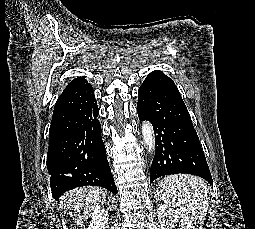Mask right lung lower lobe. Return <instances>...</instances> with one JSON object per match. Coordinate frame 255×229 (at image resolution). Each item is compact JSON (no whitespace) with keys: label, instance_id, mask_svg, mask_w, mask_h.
Masks as SVG:
<instances>
[{"label":"right lung lower lobe","instance_id":"1","mask_svg":"<svg viewBox=\"0 0 255 229\" xmlns=\"http://www.w3.org/2000/svg\"><path fill=\"white\" fill-rule=\"evenodd\" d=\"M92 86L82 77L59 96L49 130L47 168L55 198L81 186H101L117 193L101 137Z\"/></svg>","mask_w":255,"mask_h":229}]
</instances>
